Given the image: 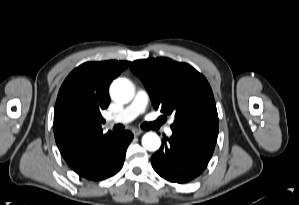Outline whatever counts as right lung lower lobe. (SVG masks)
<instances>
[{
    "label": "right lung lower lobe",
    "mask_w": 299,
    "mask_h": 205,
    "mask_svg": "<svg viewBox=\"0 0 299 205\" xmlns=\"http://www.w3.org/2000/svg\"><path fill=\"white\" fill-rule=\"evenodd\" d=\"M132 139L133 135L129 131L122 135L113 134L86 150L71 168L88 180L109 178L121 170Z\"/></svg>",
    "instance_id": "98d812e1"
}]
</instances>
